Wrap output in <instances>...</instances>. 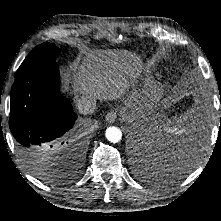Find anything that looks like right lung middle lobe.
Segmentation results:
<instances>
[{"instance_id":"right-lung-middle-lobe-1","label":"right lung middle lobe","mask_w":221,"mask_h":221,"mask_svg":"<svg viewBox=\"0 0 221 221\" xmlns=\"http://www.w3.org/2000/svg\"><path fill=\"white\" fill-rule=\"evenodd\" d=\"M59 52V48L52 43H43L36 46L15 73V80L39 66L55 62Z\"/></svg>"}]
</instances>
